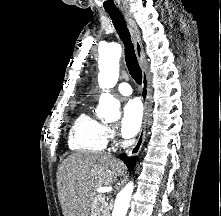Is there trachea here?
Returning <instances> with one entry per match:
<instances>
[{
    "instance_id": "obj_1",
    "label": "trachea",
    "mask_w": 221,
    "mask_h": 216,
    "mask_svg": "<svg viewBox=\"0 0 221 216\" xmlns=\"http://www.w3.org/2000/svg\"><path fill=\"white\" fill-rule=\"evenodd\" d=\"M112 23L125 46V61L131 77L137 84L142 83V71L138 64L134 46L131 42L130 33L119 10L107 11Z\"/></svg>"
}]
</instances>
